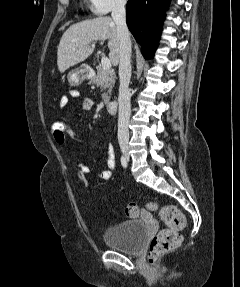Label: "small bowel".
<instances>
[{"mask_svg":"<svg viewBox=\"0 0 240 287\" xmlns=\"http://www.w3.org/2000/svg\"><path fill=\"white\" fill-rule=\"evenodd\" d=\"M68 94L72 99H75V100L80 99L79 115L87 113L93 108V106H94L93 100L91 98H88V97L80 98V93L76 89H70L68 91ZM68 102H69L68 96L62 95L59 98L60 108L61 109L65 108L67 106ZM74 134H75V131L71 125V128H70L68 135L65 139H63V140H58L56 138H54V139L58 145H60L62 147H66L68 138H72L74 136ZM106 164H107L108 168L99 173V177L105 181L111 179L112 172L115 169V165H116L115 164V158H114V149L111 145H108V147H107ZM76 166H77L78 170L80 171V173H82V174H90L92 172L91 169L82 162H76ZM142 217L149 218V214L146 211H143Z\"/></svg>","mask_w":240,"mask_h":287,"instance_id":"1","label":"small bowel"}]
</instances>
